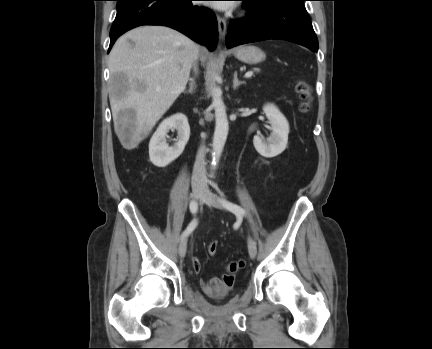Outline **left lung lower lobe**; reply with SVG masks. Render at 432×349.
<instances>
[{
  "instance_id": "left-lung-lower-lobe-1",
  "label": "left lung lower lobe",
  "mask_w": 432,
  "mask_h": 349,
  "mask_svg": "<svg viewBox=\"0 0 432 349\" xmlns=\"http://www.w3.org/2000/svg\"><path fill=\"white\" fill-rule=\"evenodd\" d=\"M249 17L231 21L226 45L281 39L318 51V40L303 5L305 0H242Z\"/></svg>"
}]
</instances>
